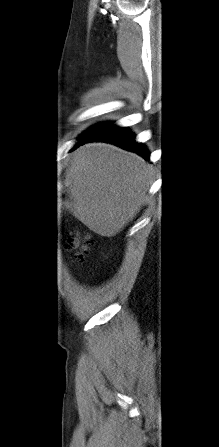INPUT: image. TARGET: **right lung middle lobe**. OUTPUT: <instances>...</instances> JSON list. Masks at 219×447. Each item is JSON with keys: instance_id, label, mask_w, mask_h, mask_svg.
<instances>
[{"instance_id": "obj_1", "label": "right lung middle lobe", "mask_w": 219, "mask_h": 447, "mask_svg": "<svg viewBox=\"0 0 219 447\" xmlns=\"http://www.w3.org/2000/svg\"><path fill=\"white\" fill-rule=\"evenodd\" d=\"M108 125H110V123L99 124V125H97V126L91 128V129L88 130L85 134H83V135L81 136L80 140H81V139H84V138H86V137H90V136H92V135L98 133L99 131H101L102 129H104L105 127H107Z\"/></svg>"}]
</instances>
